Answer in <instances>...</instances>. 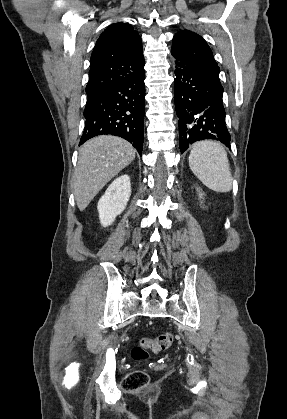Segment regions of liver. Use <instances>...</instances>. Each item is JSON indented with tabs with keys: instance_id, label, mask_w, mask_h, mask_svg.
Here are the masks:
<instances>
[{
	"instance_id": "obj_1",
	"label": "liver",
	"mask_w": 287,
	"mask_h": 419,
	"mask_svg": "<svg viewBox=\"0 0 287 419\" xmlns=\"http://www.w3.org/2000/svg\"><path fill=\"white\" fill-rule=\"evenodd\" d=\"M136 150L126 140L110 135L95 137L79 149L72 189L80 211L98 192L135 159Z\"/></svg>"
}]
</instances>
